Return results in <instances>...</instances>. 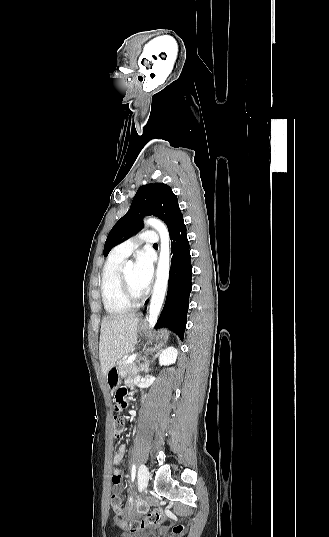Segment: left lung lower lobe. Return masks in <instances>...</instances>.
Instances as JSON below:
<instances>
[{"instance_id":"1","label":"left lung lower lobe","mask_w":329,"mask_h":537,"mask_svg":"<svg viewBox=\"0 0 329 537\" xmlns=\"http://www.w3.org/2000/svg\"><path fill=\"white\" fill-rule=\"evenodd\" d=\"M171 267L165 306L156 327H167L183 339L186 328L189 295L192 289V265L186 226L181 224L170 236Z\"/></svg>"}]
</instances>
